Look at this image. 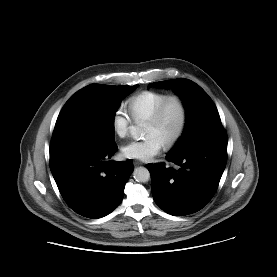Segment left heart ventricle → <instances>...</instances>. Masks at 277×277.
I'll return each mask as SVG.
<instances>
[{
    "label": "left heart ventricle",
    "mask_w": 277,
    "mask_h": 277,
    "mask_svg": "<svg viewBox=\"0 0 277 277\" xmlns=\"http://www.w3.org/2000/svg\"><path fill=\"white\" fill-rule=\"evenodd\" d=\"M181 120V110L176 101H171L158 124L146 123L145 135H155L165 144L177 131Z\"/></svg>",
    "instance_id": "b2bd125f"
}]
</instances>
